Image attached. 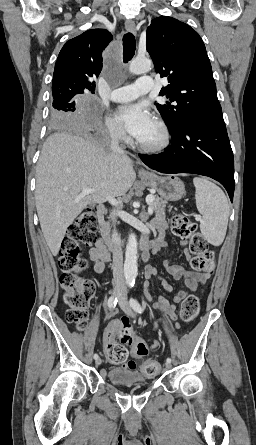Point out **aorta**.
I'll return each instance as SVG.
<instances>
[{
  "label": "aorta",
  "mask_w": 256,
  "mask_h": 445,
  "mask_svg": "<svg viewBox=\"0 0 256 445\" xmlns=\"http://www.w3.org/2000/svg\"><path fill=\"white\" fill-rule=\"evenodd\" d=\"M152 62L148 58H135L129 64V71L133 74L147 73L151 70ZM138 274L137 240L135 234H130L125 252L124 277L128 284H133Z\"/></svg>",
  "instance_id": "obj_1"
}]
</instances>
